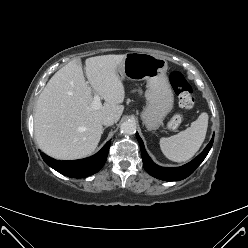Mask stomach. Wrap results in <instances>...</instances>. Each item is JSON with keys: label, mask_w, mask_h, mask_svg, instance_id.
I'll use <instances>...</instances> for the list:
<instances>
[{"label": "stomach", "mask_w": 248, "mask_h": 248, "mask_svg": "<svg viewBox=\"0 0 248 248\" xmlns=\"http://www.w3.org/2000/svg\"><path fill=\"white\" fill-rule=\"evenodd\" d=\"M167 68L165 59L139 52L127 53L117 68L121 79L146 80V106L141 119L148 130L158 129L173 108L174 95L166 75Z\"/></svg>", "instance_id": "0dacf381"}]
</instances>
